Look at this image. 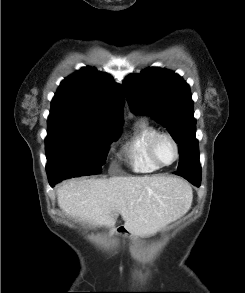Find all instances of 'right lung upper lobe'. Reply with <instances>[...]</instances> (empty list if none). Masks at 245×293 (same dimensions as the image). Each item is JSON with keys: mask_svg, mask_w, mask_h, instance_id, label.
<instances>
[{"mask_svg": "<svg viewBox=\"0 0 245 293\" xmlns=\"http://www.w3.org/2000/svg\"><path fill=\"white\" fill-rule=\"evenodd\" d=\"M124 93L113 78L84 67L63 80L52 100L48 120L120 127Z\"/></svg>", "mask_w": 245, "mask_h": 293, "instance_id": "1", "label": "right lung upper lobe"}]
</instances>
